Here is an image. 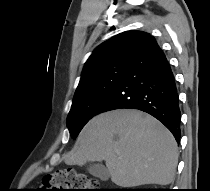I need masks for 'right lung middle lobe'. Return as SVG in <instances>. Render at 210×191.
<instances>
[{
	"label": "right lung middle lobe",
	"mask_w": 210,
	"mask_h": 191,
	"mask_svg": "<svg viewBox=\"0 0 210 191\" xmlns=\"http://www.w3.org/2000/svg\"><path fill=\"white\" fill-rule=\"evenodd\" d=\"M130 59H117L93 71L76 89L67 126L76 138L85 124L98 114L102 103L125 72Z\"/></svg>",
	"instance_id": "dd1d6c3e"
}]
</instances>
